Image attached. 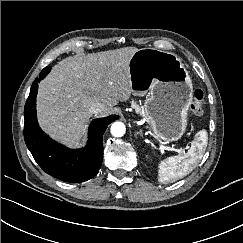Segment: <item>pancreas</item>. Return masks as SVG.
I'll list each match as a JSON object with an SVG mask.
<instances>
[{"mask_svg":"<svg viewBox=\"0 0 243 243\" xmlns=\"http://www.w3.org/2000/svg\"><path fill=\"white\" fill-rule=\"evenodd\" d=\"M132 107L136 109L137 112L141 113L142 109L139 105H137L134 101L132 102Z\"/></svg>","mask_w":243,"mask_h":243,"instance_id":"obj_1","label":"pancreas"}]
</instances>
